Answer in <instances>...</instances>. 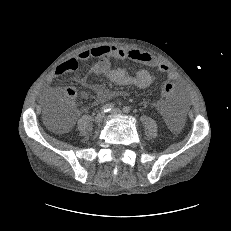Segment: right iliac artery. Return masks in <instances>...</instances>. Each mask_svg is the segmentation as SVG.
I'll list each match as a JSON object with an SVG mask.
<instances>
[{
	"label": "right iliac artery",
	"mask_w": 231,
	"mask_h": 231,
	"mask_svg": "<svg viewBox=\"0 0 231 231\" xmlns=\"http://www.w3.org/2000/svg\"><path fill=\"white\" fill-rule=\"evenodd\" d=\"M114 107V105L112 103H108L106 105H104L102 108H101V111L102 112H109L110 110H112Z\"/></svg>",
	"instance_id": "obj_1"
}]
</instances>
